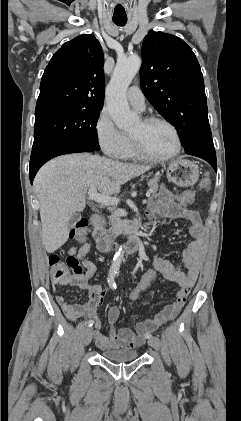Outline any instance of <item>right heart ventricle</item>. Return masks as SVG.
<instances>
[{
    "instance_id": "right-heart-ventricle-1",
    "label": "right heart ventricle",
    "mask_w": 241,
    "mask_h": 421,
    "mask_svg": "<svg viewBox=\"0 0 241 421\" xmlns=\"http://www.w3.org/2000/svg\"><path fill=\"white\" fill-rule=\"evenodd\" d=\"M119 158H122V159H138L139 158L133 149L132 142L129 136H126V143Z\"/></svg>"
}]
</instances>
